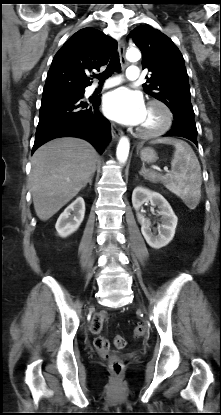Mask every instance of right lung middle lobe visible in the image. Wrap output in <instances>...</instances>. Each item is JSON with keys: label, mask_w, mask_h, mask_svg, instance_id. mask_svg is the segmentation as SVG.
I'll use <instances>...</instances> for the list:
<instances>
[{"label": "right lung middle lobe", "mask_w": 221, "mask_h": 415, "mask_svg": "<svg viewBox=\"0 0 221 415\" xmlns=\"http://www.w3.org/2000/svg\"><path fill=\"white\" fill-rule=\"evenodd\" d=\"M64 93L81 95V94H84V89L69 90V91H64Z\"/></svg>", "instance_id": "right-lung-middle-lobe-1"}]
</instances>
